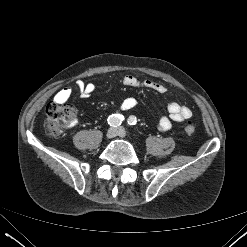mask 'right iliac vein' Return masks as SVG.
Listing matches in <instances>:
<instances>
[{
    "label": "right iliac vein",
    "instance_id": "63e3f726",
    "mask_svg": "<svg viewBox=\"0 0 247 247\" xmlns=\"http://www.w3.org/2000/svg\"><path fill=\"white\" fill-rule=\"evenodd\" d=\"M117 135V129L116 128H109L107 133H106V137L108 139L114 138Z\"/></svg>",
    "mask_w": 247,
    "mask_h": 247
}]
</instances>
